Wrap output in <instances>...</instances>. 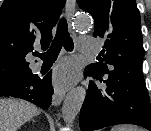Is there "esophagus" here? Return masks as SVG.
Here are the masks:
<instances>
[{"mask_svg": "<svg viewBox=\"0 0 151 131\" xmlns=\"http://www.w3.org/2000/svg\"><path fill=\"white\" fill-rule=\"evenodd\" d=\"M75 0H67V19L70 25L71 19L75 13ZM65 96V91L55 90L53 98H52V104L57 106L59 105L63 98Z\"/></svg>", "mask_w": 151, "mask_h": 131, "instance_id": "1", "label": "esophagus"}]
</instances>
